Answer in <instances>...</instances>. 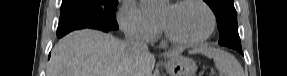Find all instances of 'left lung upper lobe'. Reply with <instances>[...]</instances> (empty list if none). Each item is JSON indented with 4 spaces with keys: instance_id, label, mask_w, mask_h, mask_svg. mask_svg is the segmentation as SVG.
Returning <instances> with one entry per match:
<instances>
[{
    "instance_id": "left-lung-upper-lobe-1",
    "label": "left lung upper lobe",
    "mask_w": 287,
    "mask_h": 76,
    "mask_svg": "<svg viewBox=\"0 0 287 76\" xmlns=\"http://www.w3.org/2000/svg\"><path fill=\"white\" fill-rule=\"evenodd\" d=\"M217 18L219 44L230 48L241 47L234 0H204Z\"/></svg>"
}]
</instances>
